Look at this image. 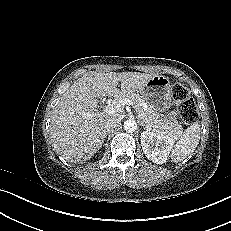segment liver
Wrapping results in <instances>:
<instances>
[{
	"label": "liver",
	"mask_w": 231,
	"mask_h": 231,
	"mask_svg": "<svg viewBox=\"0 0 231 231\" xmlns=\"http://www.w3.org/2000/svg\"><path fill=\"white\" fill-rule=\"evenodd\" d=\"M156 74L89 72L77 79L54 108L50 123L53 149L66 161L79 162L97 153L114 114L99 112V96L120 97L138 92ZM120 83L121 89L117 86Z\"/></svg>",
	"instance_id": "liver-1"
}]
</instances>
